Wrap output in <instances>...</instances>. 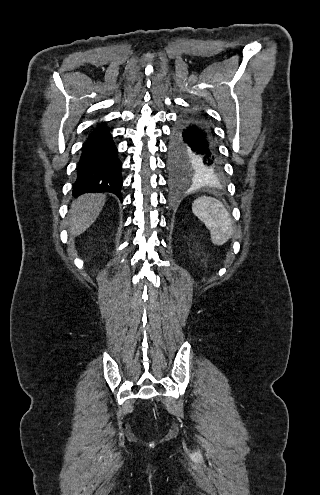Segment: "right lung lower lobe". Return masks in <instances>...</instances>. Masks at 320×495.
<instances>
[{"mask_svg": "<svg viewBox=\"0 0 320 495\" xmlns=\"http://www.w3.org/2000/svg\"><path fill=\"white\" fill-rule=\"evenodd\" d=\"M110 130L104 122L92 127L81 148L73 195L110 192L122 201V163Z\"/></svg>", "mask_w": 320, "mask_h": 495, "instance_id": "1", "label": "right lung lower lobe"}]
</instances>
